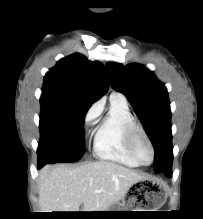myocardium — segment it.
Listing matches in <instances>:
<instances>
[{"mask_svg":"<svg viewBox=\"0 0 203 219\" xmlns=\"http://www.w3.org/2000/svg\"><path fill=\"white\" fill-rule=\"evenodd\" d=\"M139 136H142L150 147L152 158L149 163L143 162L137 153L136 140ZM126 143L131 155L140 165L148 166L153 163L155 159V147L153 145V142L147 134L146 130L143 128V126L137 123L136 121L130 124L126 130Z\"/></svg>","mask_w":203,"mask_h":219,"instance_id":"myocardium-1","label":"myocardium"}]
</instances>
